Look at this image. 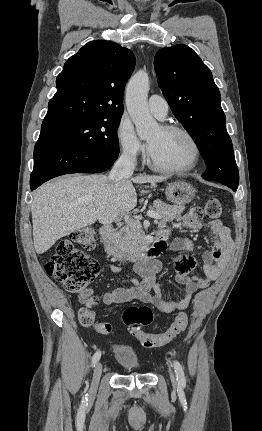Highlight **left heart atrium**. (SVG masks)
<instances>
[{
  "label": "left heart atrium",
  "instance_id": "left-heart-atrium-1",
  "mask_svg": "<svg viewBox=\"0 0 262 431\" xmlns=\"http://www.w3.org/2000/svg\"><path fill=\"white\" fill-rule=\"evenodd\" d=\"M149 149H151V145H149Z\"/></svg>",
  "mask_w": 262,
  "mask_h": 431
}]
</instances>
